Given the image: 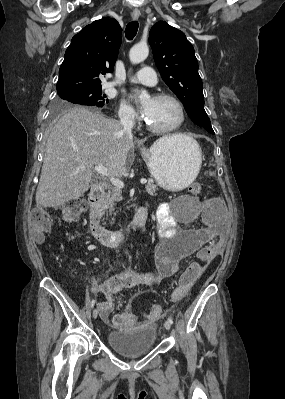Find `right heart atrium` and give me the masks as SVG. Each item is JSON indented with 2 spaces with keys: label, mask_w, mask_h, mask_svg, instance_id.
I'll return each mask as SVG.
<instances>
[{
  "label": "right heart atrium",
  "mask_w": 285,
  "mask_h": 399,
  "mask_svg": "<svg viewBox=\"0 0 285 399\" xmlns=\"http://www.w3.org/2000/svg\"><path fill=\"white\" fill-rule=\"evenodd\" d=\"M118 114L124 121H135L137 119V114L134 108L127 102L121 103Z\"/></svg>",
  "instance_id": "obj_1"
}]
</instances>
